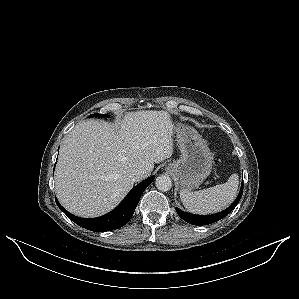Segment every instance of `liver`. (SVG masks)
<instances>
[{
  "label": "liver",
  "mask_w": 299,
  "mask_h": 299,
  "mask_svg": "<svg viewBox=\"0 0 299 299\" xmlns=\"http://www.w3.org/2000/svg\"><path fill=\"white\" fill-rule=\"evenodd\" d=\"M174 125L165 111L127 113L119 125L87 120L64 138L55 170V192L69 212L97 217L114 209L133 187V169L148 177L173 154Z\"/></svg>",
  "instance_id": "liver-1"
}]
</instances>
